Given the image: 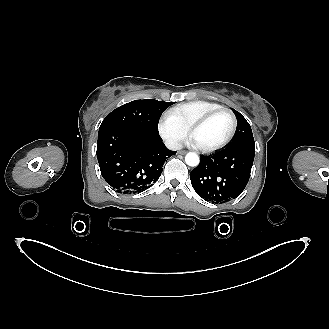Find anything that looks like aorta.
<instances>
[{
  "label": "aorta",
  "mask_w": 329,
  "mask_h": 329,
  "mask_svg": "<svg viewBox=\"0 0 329 329\" xmlns=\"http://www.w3.org/2000/svg\"><path fill=\"white\" fill-rule=\"evenodd\" d=\"M185 162L188 166L196 167L198 166L200 159L199 156L194 152H189L185 156Z\"/></svg>",
  "instance_id": "762f6f07"
}]
</instances>
